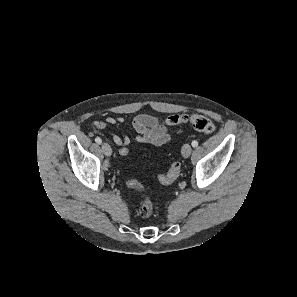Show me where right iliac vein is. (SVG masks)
<instances>
[{
	"instance_id": "obj_1",
	"label": "right iliac vein",
	"mask_w": 297,
	"mask_h": 297,
	"mask_svg": "<svg viewBox=\"0 0 297 297\" xmlns=\"http://www.w3.org/2000/svg\"><path fill=\"white\" fill-rule=\"evenodd\" d=\"M102 151L106 156H111L112 149L109 144L103 143L102 144Z\"/></svg>"
}]
</instances>
